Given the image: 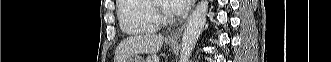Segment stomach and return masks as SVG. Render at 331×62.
<instances>
[{
    "mask_svg": "<svg viewBox=\"0 0 331 62\" xmlns=\"http://www.w3.org/2000/svg\"><path fill=\"white\" fill-rule=\"evenodd\" d=\"M168 46L174 47L176 43L168 42ZM124 62H147L139 55H131Z\"/></svg>",
    "mask_w": 331,
    "mask_h": 62,
    "instance_id": "obj_1",
    "label": "stomach"
}]
</instances>
